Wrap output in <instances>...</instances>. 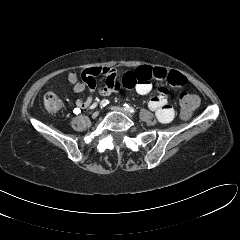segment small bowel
<instances>
[{
  "instance_id": "1",
  "label": "small bowel",
  "mask_w": 240,
  "mask_h": 240,
  "mask_svg": "<svg viewBox=\"0 0 240 240\" xmlns=\"http://www.w3.org/2000/svg\"><path fill=\"white\" fill-rule=\"evenodd\" d=\"M103 76L104 83L99 87V93L108 96L121 88L134 89L140 95H147L152 90L151 80L156 79L165 82L160 88L158 95L152 97L148 103L157 119L162 123H169L174 119L175 110L168 103L167 94L170 90L178 89L186 83L185 77L177 71H169L162 67L141 66L132 71H127L121 80L118 79L117 72L108 67H93L82 71L81 80L75 71H70L67 75L72 89L76 93H81L88 89L93 93L96 89L95 77ZM92 102V97L78 99L76 101V111L87 108Z\"/></svg>"
}]
</instances>
